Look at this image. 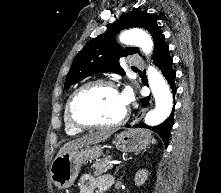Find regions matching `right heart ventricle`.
Segmentation results:
<instances>
[{
    "label": "right heart ventricle",
    "mask_w": 221,
    "mask_h": 193,
    "mask_svg": "<svg viewBox=\"0 0 221 193\" xmlns=\"http://www.w3.org/2000/svg\"><path fill=\"white\" fill-rule=\"evenodd\" d=\"M64 120H65V131H66V133H67L68 135H70V136H75V135L80 134V133L83 131V129H80V128L74 126V125L70 122V120H69V118H68V115H67V109H66V108H65V110H64Z\"/></svg>",
    "instance_id": "e07e8e85"
}]
</instances>
